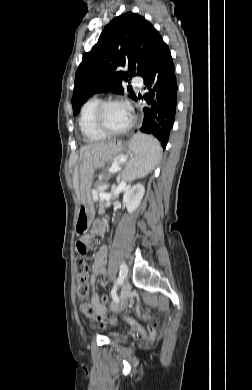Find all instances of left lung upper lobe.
<instances>
[{
	"label": "left lung upper lobe",
	"instance_id": "1",
	"mask_svg": "<svg viewBox=\"0 0 252 390\" xmlns=\"http://www.w3.org/2000/svg\"><path fill=\"white\" fill-rule=\"evenodd\" d=\"M161 43V35L142 16L128 12L115 17L104 28L97 44L83 55L76 71L73 114L95 93L123 94V81L136 74L141 76ZM129 97L137 99L133 92Z\"/></svg>",
	"mask_w": 252,
	"mask_h": 390
}]
</instances>
